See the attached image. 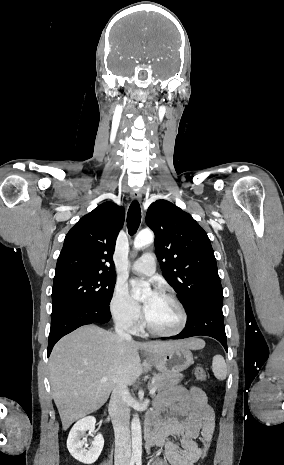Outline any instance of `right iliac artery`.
<instances>
[{
    "label": "right iliac artery",
    "mask_w": 284,
    "mask_h": 465,
    "mask_svg": "<svg viewBox=\"0 0 284 465\" xmlns=\"http://www.w3.org/2000/svg\"><path fill=\"white\" fill-rule=\"evenodd\" d=\"M135 464V460L134 459H131L129 465H134Z\"/></svg>",
    "instance_id": "right-iliac-artery-1"
}]
</instances>
